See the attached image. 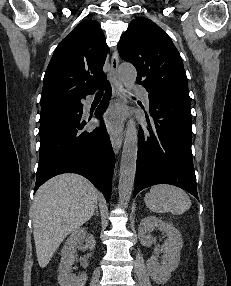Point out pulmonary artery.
I'll return each instance as SVG.
<instances>
[{
    "instance_id": "1",
    "label": "pulmonary artery",
    "mask_w": 231,
    "mask_h": 286,
    "mask_svg": "<svg viewBox=\"0 0 231 286\" xmlns=\"http://www.w3.org/2000/svg\"><path fill=\"white\" fill-rule=\"evenodd\" d=\"M133 89H134V91L137 94H139L142 97V100H143L144 104L146 106H149V94H148V91L144 87H142L140 85H134Z\"/></svg>"
}]
</instances>
